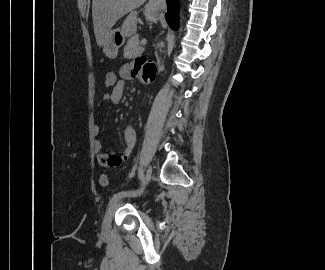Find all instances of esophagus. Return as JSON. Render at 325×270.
Returning a JSON list of instances; mask_svg holds the SVG:
<instances>
[{
	"mask_svg": "<svg viewBox=\"0 0 325 270\" xmlns=\"http://www.w3.org/2000/svg\"><path fill=\"white\" fill-rule=\"evenodd\" d=\"M149 6L158 10H164L166 8V0H150Z\"/></svg>",
	"mask_w": 325,
	"mask_h": 270,
	"instance_id": "34e87169",
	"label": "esophagus"
}]
</instances>
